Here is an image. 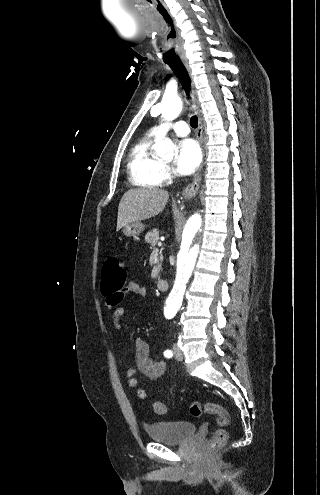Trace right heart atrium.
I'll use <instances>...</instances> for the list:
<instances>
[{
	"mask_svg": "<svg viewBox=\"0 0 320 495\" xmlns=\"http://www.w3.org/2000/svg\"><path fill=\"white\" fill-rule=\"evenodd\" d=\"M171 171L169 169V167L167 166H162L161 170H160V174H159V179H160V182H167L171 179Z\"/></svg>",
	"mask_w": 320,
	"mask_h": 495,
	"instance_id": "d8ad5b80",
	"label": "right heart atrium"
}]
</instances>
